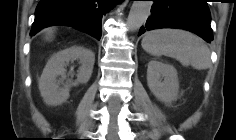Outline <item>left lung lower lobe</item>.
Masks as SVG:
<instances>
[{"mask_svg": "<svg viewBox=\"0 0 236 140\" xmlns=\"http://www.w3.org/2000/svg\"><path fill=\"white\" fill-rule=\"evenodd\" d=\"M211 16L206 0H154L151 16L139 35L160 28H179L191 31L211 42Z\"/></svg>", "mask_w": 236, "mask_h": 140, "instance_id": "0a47b994", "label": "left lung lower lobe"}]
</instances>
